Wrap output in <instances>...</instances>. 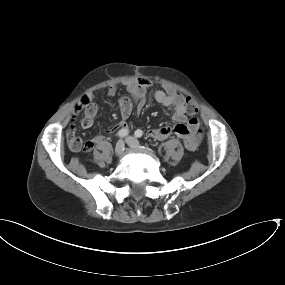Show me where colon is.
Returning <instances> with one entry per match:
<instances>
[{"label":"colon","mask_w":285,"mask_h":285,"mask_svg":"<svg viewBox=\"0 0 285 285\" xmlns=\"http://www.w3.org/2000/svg\"><path fill=\"white\" fill-rule=\"evenodd\" d=\"M90 104H91V100L89 99L88 96L81 97L78 101L75 113H78V111H81V110L87 108L88 106H90ZM187 111L190 115L196 114L198 111L197 105L193 101L188 102ZM72 140H73L75 147L78 150L84 149L87 146V141H85L84 139H82L80 137H76L73 135Z\"/></svg>","instance_id":"colon-1"}]
</instances>
